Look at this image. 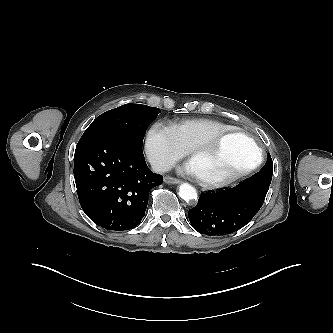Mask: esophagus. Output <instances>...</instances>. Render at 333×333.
<instances>
[{
    "label": "esophagus",
    "instance_id": "esophagus-1",
    "mask_svg": "<svg viewBox=\"0 0 333 333\" xmlns=\"http://www.w3.org/2000/svg\"><path fill=\"white\" fill-rule=\"evenodd\" d=\"M164 182L167 184H178L181 181L177 178L171 177V176H165L164 177Z\"/></svg>",
    "mask_w": 333,
    "mask_h": 333
}]
</instances>
